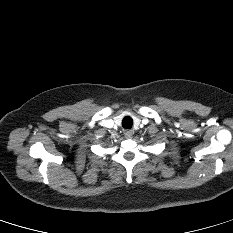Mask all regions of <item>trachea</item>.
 <instances>
[{"label": "trachea", "instance_id": "3493384b", "mask_svg": "<svg viewBox=\"0 0 233 233\" xmlns=\"http://www.w3.org/2000/svg\"><path fill=\"white\" fill-rule=\"evenodd\" d=\"M133 125V120L130 116H126L122 120V126L125 129H130Z\"/></svg>", "mask_w": 233, "mask_h": 233}]
</instances>
